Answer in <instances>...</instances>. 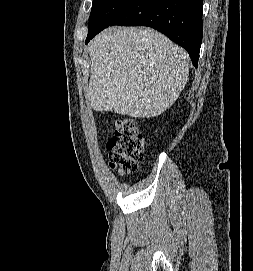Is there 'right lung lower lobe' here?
Instances as JSON below:
<instances>
[{
  "instance_id": "98d812e1",
  "label": "right lung lower lobe",
  "mask_w": 253,
  "mask_h": 271,
  "mask_svg": "<svg viewBox=\"0 0 253 271\" xmlns=\"http://www.w3.org/2000/svg\"><path fill=\"white\" fill-rule=\"evenodd\" d=\"M202 11L203 0H133L110 26L152 27L186 49L197 68L203 34ZM97 33L88 35L86 43Z\"/></svg>"
}]
</instances>
